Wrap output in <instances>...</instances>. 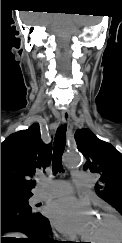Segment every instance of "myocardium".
<instances>
[{
  "instance_id": "myocardium-1",
  "label": "myocardium",
  "mask_w": 122,
  "mask_h": 243,
  "mask_svg": "<svg viewBox=\"0 0 122 243\" xmlns=\"http://www.w3.org/2000/svg\"><path fill=\"white\" fill-rule=\"evenodd\" d=\"M100 216L110 219L115 226V235L107 243H121L122 242V220L116 214L109 211L100 212ZM92 243H98V242L92 241Z\"/></svg>"
}]
</instances>
